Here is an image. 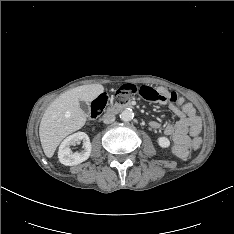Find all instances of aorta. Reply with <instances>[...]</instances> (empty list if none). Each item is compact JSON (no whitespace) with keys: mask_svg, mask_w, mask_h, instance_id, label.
Returning <instances> with one entry per match:
<instances>
[{"mask_svg":"<svg viewBox=\"0 0 234 234\" xmlns=\"http://www.w3.org/2000/svg\"><path fill=\"white\" fill-rule=\"evenodd\" d=\"M134 117V113L131 109L127 108L123 110L120 114V118L122 121L128 122L131 121Z\"/></svg>","mask_w":234,"mask_h":234,"instance_id":"762f6f07","label":"aorta"}]
</instances>
